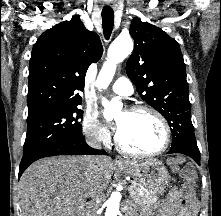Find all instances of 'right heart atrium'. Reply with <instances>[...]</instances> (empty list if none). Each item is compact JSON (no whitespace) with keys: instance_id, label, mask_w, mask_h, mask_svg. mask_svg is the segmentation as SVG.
<instances>
[{"instance_id":"right-heart-atrium-1","label":"right heart atrium","mask_w":221,"mask_h":216,"mask_svg":"<svg viewBox=\"0 0 221 216\" xmlns=\"http://www.w3.org/2000/svg\"><path fill=\"white\" fill-rule=\"evenodd\" d=\"M82 128L85 137L92 143L107 144L110 140L109 130L93 111H87L84 115Z\"/></svg>"}]
</instances>
